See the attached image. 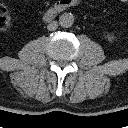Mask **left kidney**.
Here are the masks:
<instances>
[{
    "label": "left kidney",
    "instance_id": "5707ae66",
    "mask_svg": "<svg viewBox=\"0 0 128 128\" xmlns=\"http://www.w3.org/2000/svg\"><path fill=\"white\" fill-rule=\"evenodd\" d=\"M108 41L112 42L114 41V36L112 34H108L107 36Z\"/></svg>",
    "mask_w": 128,
    "mask_h": 128
}]
</instances>
